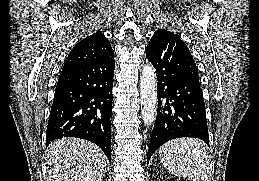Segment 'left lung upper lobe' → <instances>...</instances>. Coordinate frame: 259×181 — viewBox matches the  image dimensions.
<instances>
[{"mask_svg":"<svg viewBox=\"0 0 259 181\" xmlns=\"http://www.w3.org/2000/svg\"><path fill=\"white\" fill-rule=\"evenodd\" d=\"M165 37H172V38H177V39L180 40L181 46L184 50V59H183L184 70L190 76L191 79H193L196 83L199 84V76H198V70H197L196 63H195L188 47L178 36H176L174 33L170 32L168 30L158 29L154 33L150 42L159 41V40H161L162 38H165Z\"/></svg>","mask_w":259,"mask_h":181,"instance_id":"5c2ea615","label":"left lung upper lobe"}]
</instances>
